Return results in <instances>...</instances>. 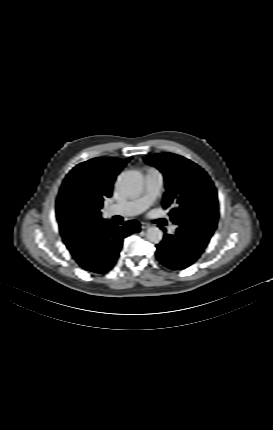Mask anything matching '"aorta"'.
I'll list each match as a JSON object with an SVG mask.
<instances>
[{"label":"aorta","mask_w":273,"mask_h":430,"mask_svg":"<svg viewBox=\"0 0 273 430\" xmlns=\"http://www.w3.org/2000/svg\"><path fill=\"white\" fill-rule=\"evenodd\" d=\"M144 185V177L139 171L129 170L122 172L117 180L118 188L129 196L138 195ZM163 233L161 229L152 226L147 229L146 238L151 243H159L162 240Z\"/></svg>","instance_id":"762f6f07"}]
</instances>
